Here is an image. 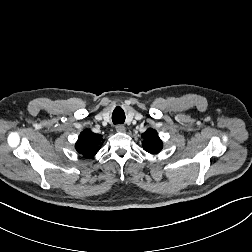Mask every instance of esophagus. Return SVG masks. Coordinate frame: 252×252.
<instances>
[{"label": "esophagus", "mask_w": 252, "mask_h": 252, "mask_svg": "<svg viewBox=\"0 0 252 252\" xmlns=\"http://www.w3.org/2000/svg\"><path fill=\"white\" fill-rule=\"evenodd\" d=\"M116 131H117V132H125V126L122 125V124H118V125L116 126Z\"/></svg>", "instance_id": "1"}]
</instances>
